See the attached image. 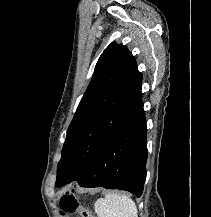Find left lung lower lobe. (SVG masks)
I'll use <instances>...</instances> for the list:
<instances>
[{
	"label": "left lung lower lobe",
	"instance_id": "obj_1",
	"mask_svg": "<svg viewBox=\"0 0 211 217\" xmlns=\"http://www.w3.org/2000/svg\"><path fill=\"white\" fill-rule=\"evenodd\" d=\"M147 129L143 108L116 129L75 177L82 187L126 190L140 197L146 180Z\"/></svg>",
	"mask_w": 211,
	"mask_h": 217
}]
</instances>
